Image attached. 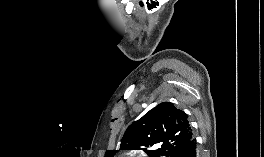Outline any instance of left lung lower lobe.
Here are the masks:
<instances>
[{
    "label": "left lung lower lobe",
    "mask_w": 264,
    "mask_h": 157,
    "mask_svg": "<svg viewBox=\"0 0 264 157\" xmlns=\"http://www.w3.org/2000/svg\"><path fill=\"white\" fill-rule=\"evenodd\" d=\"M196 145V141L192 139L185 148L183 157H199Z\"/></svg>",
    "instance_id": "obj_1"
}]
</instances>
